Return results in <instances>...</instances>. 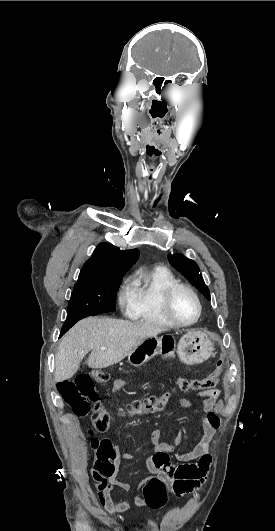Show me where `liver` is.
I'll list each match as a JSON object with an SVG mask.
<instances>
[{
    "mask_svg": "<svg viewBox=\"0 0 275 531\" xmlns=\"http://www.w3.org/2000/svg\"><path fill=\"white\" fill-rule=\"evenodd\" d=\"M167 329L109 317H88L76 323L63 337L55 361V381L71 379L79 369L85 355L92 351L87 361L91 369H105L120 363L132 349L143 343L147 337H155ZM105 347L106 351H101Z\"/></svg>",
    "mask_w": 275,
    "mask_h": 531,
    "instance_id": "6515ba94",
    "label": "liver"
}]
</instances>
